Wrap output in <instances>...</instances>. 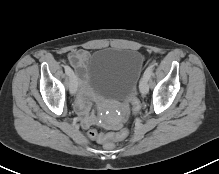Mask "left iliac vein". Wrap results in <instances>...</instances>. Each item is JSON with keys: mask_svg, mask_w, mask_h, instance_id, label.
I'll return each mask as SVG.
<instances>
[{"mask_svg": "<svg viewBox=\"0 0 219 174\" xmlns=\"http://www.w3.org/2000/svg\"><path fill=\"white\" fill-rule=\"evenodd\" d=\"M139 90L143 95L148 93V80L145 77H143L140 81Z\"/></svg>", "mask_w": 219, "mask_h": 174, "instance_id": "4c4485c4", "label": "left iliac vein"}]
</instances>
